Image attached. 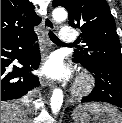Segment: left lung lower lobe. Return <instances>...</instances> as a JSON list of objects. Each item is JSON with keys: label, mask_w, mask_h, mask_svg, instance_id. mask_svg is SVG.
I'll use <instances>...</instances> for the list:
<instances>
[{"label": "left lung lower lobe", "mask_w": 122, "mask_h": 123, "mask_svg": "<svg viewBox=\"0 0 122 123\" xmlns=\"http://www.w3.org/2000/svg\"><path fill=\"white\" fill-rule=\"evenodd\" d=\"M85 68L93 73L96 85L82 102H107L122 108V66L108 64Z\"/></svg>", "instance_id": "obj_1"}]
</instances>
